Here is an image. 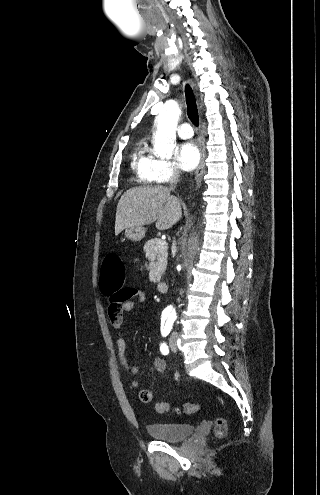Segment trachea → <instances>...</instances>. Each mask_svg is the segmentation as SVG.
I'll return each instance as SVG.
<instances>
[{"label":"trachea","mask_w":320,"mask_h":495,"mask_svg":"<svg viewBox=\"0 0 320 495\" xmlns=\"http://www.w3.org/2000/svg\"><path fill=\"white\" fill-rule=\"evenodd\" d=\"M185 96H186L188 117L194 125L198 126L199 114H198L197 104L193 91L188 84L185 87Z\"/></svg>","instance_id":"1"}]
</instances>
